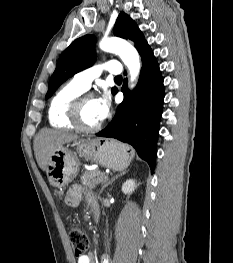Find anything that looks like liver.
Instances as JSON below:
<instances>
[{"label": "liver", "instance_id": "obj_1", "mask_svg": "<svg viewBox=\"0 0 233 263\" xmlns=\"http://www.w3.org/2000/svg\"><path fill=\"white\" fill-rule=\"evenodd\" d=\"M78 135L65 131L42 129L34 139V152L39 167L46 171L52 154L65 143L77 140Z\"/></svg>", "mask_w": 233, "mask_h": 263}]
</instances>
